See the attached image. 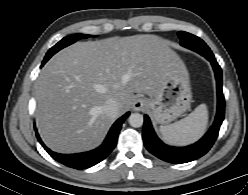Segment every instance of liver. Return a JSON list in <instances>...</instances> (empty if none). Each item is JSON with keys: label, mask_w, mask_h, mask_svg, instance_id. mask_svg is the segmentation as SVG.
<instances>
[{"label": "liver", "mask_w": 248, "mask_h": 195, "mask_svg": "<svg viewBox=\"0 0 248 195\" xmlns=\"http://www.w3.org/2000/svg\"><path fill=\"white\" fill-rule=\"evenodd\" d=\"M178 66H184L179 56L156 35L77 42L61 50L36 83L35 116L44 143L59 153L97 147L116 118L103 112L106 101L118 102L120 116L134 93L155 96Z\"/></svg>", "instance_id": "liver-1"}]
</instances>
